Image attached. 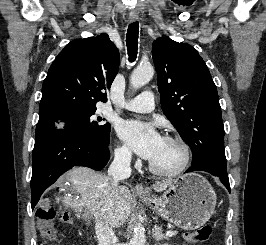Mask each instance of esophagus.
<instances>
[{
  "label": "esophagus",
  "mask_w": 266,
  "mask_h": 245,
  "mask_svg": "<svg viewBox=\"0 0 266 245\" xmlns=\"http://www.w3.org/2000/svg\"><path fill=\"white\" fill-rule=\"evenodd\" d=\"M129 19L131 22H134L138 19V14L135 13V12H131L130 15H129ZM135 192L138 194V195H147L148 192L147 190L145 189L144 185L142 184H136L135 186Z\"/></svg>",
  "instance_id": "34e87169"
}]
</instances>
